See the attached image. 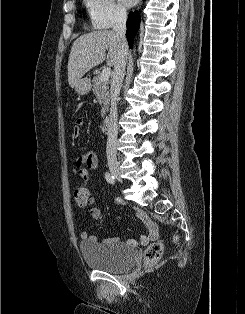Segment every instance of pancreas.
Masks as SVG:
<instances>
[{
	"mask_svg": "<svg viewBox=\"0 0 245 314\" xmlns=\"http://www.w3.org/2000/svg\"><path fill=\"white\" fill-rule=\"evenodd\" d=\"M92 91L102 106L101 116L104 117L109 109L110 95H109V83L108 81H101L100 75L94 77L93 79Z\"/></svg>",
	"mask_w": 245,
	"mask_h": 314,
	"instance_id": "pancreas-1",
	"label": "pancreas"
}]
</instances>
